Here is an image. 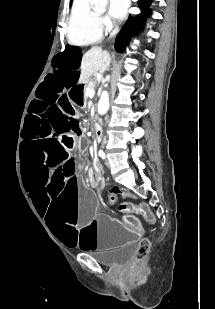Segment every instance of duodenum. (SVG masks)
Returning a JSON list of instances; mask_svg holds the SVG:
<instances>
[{"label": "duodenum", "mask_w": 215, "mask_h": 309, "mask_svg": "<svg viewBox=\"0 0 215 309\" xmlns=\"http://www.w3.org/2000/svg\"><path fill=\"white\" fill-rule=\"evenodd\" d=\"M94 136L98 143L103 141L102 120L99 118L94 119Z\"/></svg>", "instance_id": "1"}]
</instances>
